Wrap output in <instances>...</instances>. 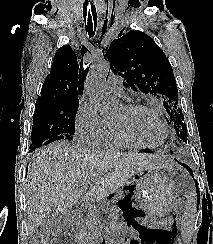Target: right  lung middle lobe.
I'll return each mask as SVG.
<instances>
[{"label":"right lung middle lobe","instance_id":"dd1d6c3e","mask_svg":"<svg viewBox=\"0 0 213 244\" xmlns=\"http://www.w3.org/2000/svg\"><path fill=\"white\" fill-rule=\"evenodd\" d=\"M77 100H37L33 115L31 149H36L47 140L63 136L72 140L75 132Z\"/></svg>","mask_w":213,"mask_h":244}]
</instances>
